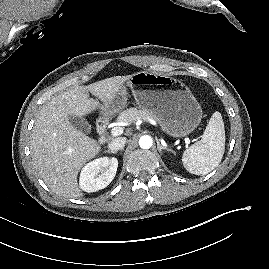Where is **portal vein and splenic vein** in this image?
<instances>
[{"label": "portal vein and splenic vein", "mask_w": 269, "mask_h": 269, "mask_svg": "<svg viewBox=\"0 0 269 269\" xmlns=\"http://www.w3.org/2000/svg\"><path fill=\"white\" fill-rule=\"evenodd\" d=\"M123 133V128L122 127H114L112 130H111V135L116 137V136H119ZM185 143L188 145L190 144V139L189 138H186L185 139Z\"/></svg>", "instance_id": "portal-vein-and-splenic-vein-1"}]
</instances>
